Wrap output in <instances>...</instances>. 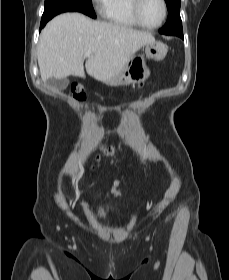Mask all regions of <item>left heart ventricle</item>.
<instances>
[{
	"instance_id": "left-heart-ventricle-1",
	"label": "left heart ventricle",
	"mask_w": 229,
	"mask_h": 280,
	"mask_svg": "<svg viewBox=\"0 0 229 280\" xmlns=\"http://www.w3.org/2000/svg\"><path fill=\"white\" fill-rule=\"evenodd\" d=\"M140 14L142 20L146 24H158L163 15V9L160 0H143Z\"/></svg>"
}]
</instances>
